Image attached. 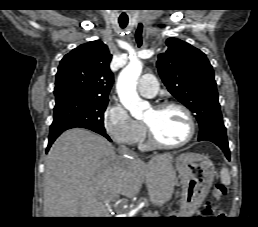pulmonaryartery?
Instances as JSON below:
<instances>
[{
  "label": "pulmonary artery",
  "mask_w": 258,
  "mask_h": 227,
  "mask_svg": "<svg viewBox=\"0 0 258 227\" xmlns=\"http://www.w3.org/2000/svg\"><path fill=\"white\" fill-rule=\"evenodd\" d=\"M158 90V83L153 75H143L138 83L139 93L147 98H153L156 96Z\"/></svg>",
  "instance_id": "1"
}]
</instances>
